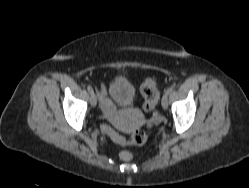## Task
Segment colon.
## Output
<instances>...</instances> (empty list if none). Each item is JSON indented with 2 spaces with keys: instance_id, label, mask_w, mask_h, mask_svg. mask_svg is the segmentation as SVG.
I'll use <instances>...</instances> for the list:
<instances>
[{
  "instance_id": "obj_1",
  "label": "colon",
  "mask_w": 249,
  "mask_h": 188,
  "mask_svg": "<svg viewBox=\"0 0 249 188\" xmlns=\"http://www.w3.org/2000/svg\"><path fill=\"white\" fill-rule=\"evenodd\" d=\"M141 94L144 99L143 103V110L149 115L153 116L157 97H158V90L156 86V81L153 78L145 79L144 83L141 86ZM151 120H153L151 118ZM103 132L106 133L112 140L120 144H133V145H143L147 140V133L143 130H136L133 132L131 139L129 141L125 140L122 136L116 133L108 126H103ZM120 158L125 161L132 160V155L129 152H121Z\"/></svg>"
}]
</instances>
